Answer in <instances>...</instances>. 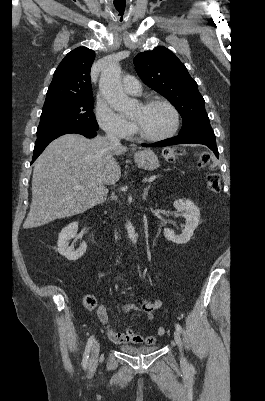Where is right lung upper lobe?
<instances>
[{
    "instance_id": "cb5924a9",
    "label": "right lung upper lobe",
    "mask_w": 265,
    "mask_h": 401,
    "mask_svg": "<svg viewBox=\"0 0 265 401\" xmlns=\"http://www.w3.org/2000/svg\"><path fill=\"white\" fill-rule=\"evenodd\" d=\"M95 52L78 47L69 52L54 72L44 105L78 97L93 96L90 69Z\"/></svg>"
}]
</instances>
